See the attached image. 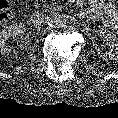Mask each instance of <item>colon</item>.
Listing matches in <instances>:
<instances>
[{"label":"colon","instance_id":"obj_1","mask_svg":"<svg viewBox=\"0 0 118 118\" xmlns=\"http://www.w3.org/2000/svg\"><path fill=\"white\" fill-rule=\"evenodd\" d=\"M30 3L35 2L36 0H27ZM12 17V12L7 0H0V25L7 24L10 22Z\"/></svg>","mask_w":118,"mask_h":118}]
</instances>
